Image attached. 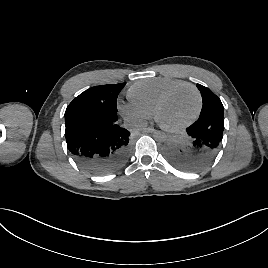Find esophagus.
Listing matches in <instances>:
<instances>
[{"label": "esophagus", "mask_w": 268, "mask_h": 268, "mask_svg": "<svg viewBox=\"0 0 268 268\" xmlns=\"http://www.w3.org/2000/svg\"><path fill=\"white\" fill-rule=\"evenodd\" d=\"M142 132L143 133H154V132H156V130L152 127H147V128H143Z\"/></svg>", "instance_id": "34e87169"}]
</instances>
